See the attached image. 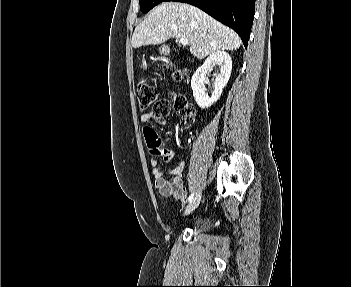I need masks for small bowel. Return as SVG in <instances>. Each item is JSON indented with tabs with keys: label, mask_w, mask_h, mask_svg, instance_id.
Instances as JSON below:
<instances>
[{
	"label": "small bowel",
	"mask_w": 351,
	"mask_h": 287,
	"mask_svg": "<svg viewBox=\"0 0 351 287\" xmlns=\"http://www.w3.org/2000/svg\"><path fill=\"white\" fill-rule=\"evenodd\" d=\"M141 129L143 130V138H145V145L152 168V175L155 180V187L164 196L172 197L175 200L183 201L186 194V185L183 179L185 170V163L180 161L172 170L165 176L162 170V162L169 163L174 157V151L170 148H163L161 146L160 132H156V127L151 124L155 121L158 124L165 125L166 120L155 115L154 112H147L140 116Z\"/></svg>",
	"instance_id": "1"
}]
</instances>
